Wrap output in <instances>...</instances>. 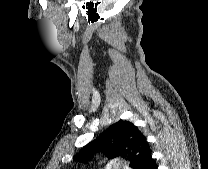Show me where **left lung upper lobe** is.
<instances>
[{"label": "left lung upper lobe", "instance_id": "5c2ea615", "mask_svg": "<svg viewBox=\"0 0 208 169\" xmlns=\"http://www.w3.org/2000/svg\"><path fill=\"white\" fill-rule=\"evenodd\" d=\"M147 150H149V145L146 137L133 123L121 120L84 146L74 160L85 162L95 153L100 152L109 159L122 157L129 161L132 169H138Z\"/></svg>", "mask_w": 208, "mask_h": 169}]
</instances>
